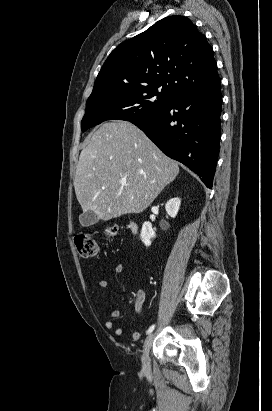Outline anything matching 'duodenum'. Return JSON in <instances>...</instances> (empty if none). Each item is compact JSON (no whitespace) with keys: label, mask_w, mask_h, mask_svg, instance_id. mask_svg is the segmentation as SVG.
I'll return each instance as SVG.
<instances>
[{"label":"duodenum","mask_w":272,"mask_h":411,"mask_svg":"<svg viewBox=\"0 0 272 411\" xmlns=\"http://www.w3.org/2000/svg\"><path fill=\"white\" fill-rule=\"evenodd\" d=\"M129 227H130V230H131L133 233L137 232L138 226H137V224H136L135 222H131L130 225H129Z\"/></svg>","instance_id":"410a0bca"}]
</instances>
